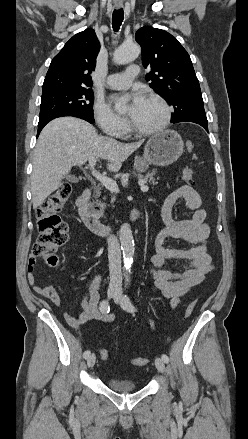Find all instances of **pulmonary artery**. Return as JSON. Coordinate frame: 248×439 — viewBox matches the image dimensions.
<instances>
[{
    "label": "pulmonary artery",
    "mask_w": 248,
    "mask_h": 439,
    "mask_svg": "<svg viewBox=\"0 0 248 439\" xmlns=\"http://www.w3.org/2000/svg\"><path fill=\"white\" fill-rule=\"evenodd\" d=\"M138 73V66L131 65L124 73H115L109 75L105 80V85L112 89L126 88L131 84L132 80L138 75Z\"/></svg>",
    "instance_id": "e3ab8cb5"
}]
</instances>
